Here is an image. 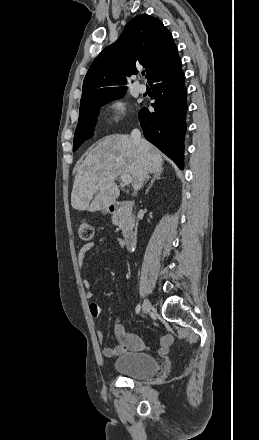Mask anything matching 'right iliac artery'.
Listing matches in <instances>:
<instances>
[{"instance_id": "obj_1", "label": "right iliac artery", "mask_w": 259, "mask_h": 440, "mask_svg": "<svg viewBox=\"0 0 259 440\" xmlns=\"http://www.w3.org/2000/svg\"><path fill=\"white\" fill-rule=\"evenodd\" d=\"M140 310H141V305L138 304V305L136 306V309H135L136 314H138V313L140 312Z\"/></svg>"}]
</instances>
